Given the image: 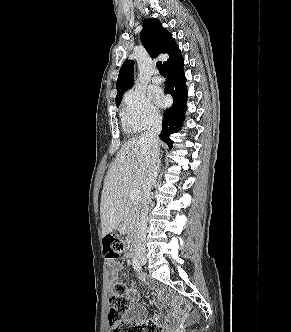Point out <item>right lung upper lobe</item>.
<instances>
[{"label":"right lung upper lobe","mask_w":291,"mask_h":332,"mask_svg":"<svg viewBox=\"0 0 291 332\" xmlns=\"http://www.w3.org/2000/svg\"><path fill=\"white\" fill-rule=\"evenodd\" d=\"M142 26L143 29L140 33V38L151 57H156L159 54H168L169 58L163 63L164 67H167L181 57V51L174 38L162 27L158 20L145 19ZM133 84V62L127 60L123 63L119 71L116 102L121 101L124 92L132 87Z\"/></svg>","instance_id":"right-lung-upper-lobe-1"}]
</instances>
